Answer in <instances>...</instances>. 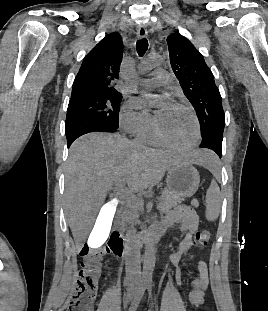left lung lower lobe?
I'll list each match as a JSON object with an SVG mask.
<instances>
[{
  "label": "left lung lower lobe",
  "mask_w": 268,
  "mask_h": 311,
  "mask_svg": "<svg viewBox=\"0 0 268 311\" xmlns=\"http://www.w3.org/2000/svg\"><path fill=\"white\" fill-rule=\"evenodd\" d=\"M222 140H223V137L209 136V137L202 139L200 147L211 149L221 158Z\"/></svg>",
  "instance_id": "left-lung-lower-lobe-1"
}]
</instances>
